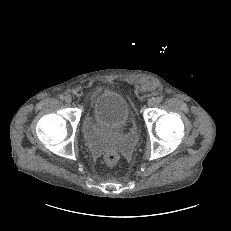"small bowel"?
Returning a JSON list of instances; mask_svg holds the SVG:
<instances>
[{
	"label": "small bowel",
	"mask_w": 231,
	"mask_h": 231,
	"mask_svg": "<svg viewBox=\"0 0 231 231\" xmlns=\"http://www.w3.org/2000/svg\"><path fill=\"white\" fill-rule=\"evenodd\" d=\"M95 132H96L95 127L90 122H87L86 127H85V133H86L87 139L89 140L93 148L95 150H98L100 145L95 138Z\"/></svg>",
	"instance_id": "1"
}]
</instances>
